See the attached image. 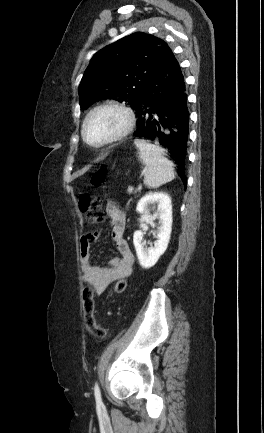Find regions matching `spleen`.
Here are the masks:
<instances>
[{"instance_id": "obj_1", "label": "spleen", "mask_w": 264, "mask_h": 433, "mask_svg": "<svg viewBox=\"0 0 264 433\" xmlns=\"http://www.w3.org/2000/svg\"><path fill=\"white\" fill-rule=\"evenodd\" d=\"M134 144L140 151V159L145 164L144 184L157 188L175 178L173 163L164 156V149L142 139Z\"/></svg>"}]
</instances>
